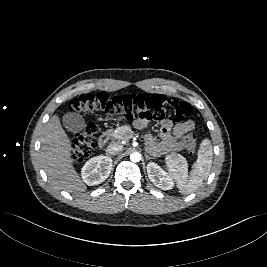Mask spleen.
I'll list each match as a JSON object with an SVG mask.
<instances>
[{"mask_svg": "<svg viewBox=\"0 0 267 267\" xmlns=\"http://www.w3.org/2000/svg\"><path fill=\"white\" fill-rule=\"evenodd\" d=\"M212 145L208 138L202 140L196 163L188 177V165L181 155L176 154L167 163V167L176 180L177 186L182 194H190L197 190L203 183L204 178L208 177L212 166Z\"/></svg>", "mask_w": 267, "mask_h": 267, "instance_id": "1", "label": "spleen"}]
</instances>
